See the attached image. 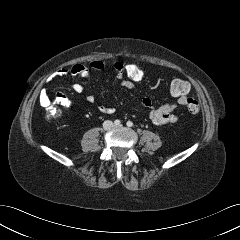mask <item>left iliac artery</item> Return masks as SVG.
Segmentation results:
<instances>
[{"mask_svg":"<svg viewBox=\"0 0 240 240\" xmlns=\"http://www.w3.org/2000/svg\"><path fill=\"white\" fill-rule=\"evenodd\" d=\"M126 124H127L128 127H132L133 126V123L131 121H128Z\"/></svg>","mask_w":240,"mask_h":240,"instance_id":"obj_1","label":"left iliac artery"}]
</instances>
